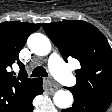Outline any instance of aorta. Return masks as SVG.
I'll list each match as a JSON object with an SVG mask.
<instances>
[{
  "label": "aorta",
  "instance_id": "obj_1",
  "mask_svg": "<svg viewBox=\"0 0 112 112\" xmlns=\"http://www.w3.org/2000/svg\"><path fill=\"white\" fill-rule=\"evenodd\" d=\"M27 44L31 51L39 56L48 55L51 51L50 40L41 33L31 34ZM53 101L57 107L66 109L71 107L73 103V95L68 90H59L54 94Z\"/></svg>",
  "mask_w": 112,
  "mask_h": 112
}]
</instances>
